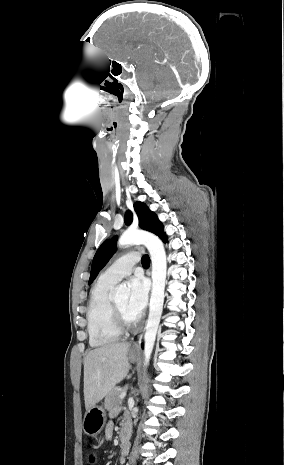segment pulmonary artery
I'll return each mask as SVG.
<instances>
[{
  "instance_id": "1",
  "label": "pulmonary artery",
  "mask_w": 284,
  "mask_h": 465,
  "mask_svg": "<svg viewBox=\"0 0 284 465\" xmlns=\"http://www.w3.org/2000/svg\"><path fill=\"white\" fill-rule=\"evenodd\" d=\"M141 261L142 256L140 251H135L134 254H121L120 259L107 268L101 274L100 279L105 282L115 284L129 275L132 272L135 263H140Z\"/></svg>"
}]
</instances>
